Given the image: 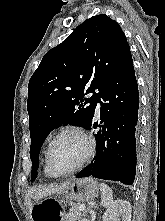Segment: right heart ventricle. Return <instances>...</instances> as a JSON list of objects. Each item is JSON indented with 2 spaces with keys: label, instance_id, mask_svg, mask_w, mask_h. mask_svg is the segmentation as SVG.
<instances>
[{
  "label": "right heart ventricle",
  "instance_id": "1",
  "mask_svg": "<svg viewBox=\"0 0 165 221\" xmlns=\"http://www.w3.org/2000/svg\"><path fill=\"white\" fill-rule=\"evenodd\" d=\"M43 172L48 177H54V175L48 170L45 161H44V165H43Z\"/></svg>",
  "mask_w": 165,
  "mask_h": 221
}]
</instances>
